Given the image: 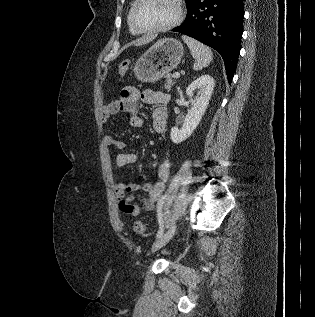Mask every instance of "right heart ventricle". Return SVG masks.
<instances>
[{
  "mask_svg": "<svg viewBox=\"0 0 315 317\" xmlns=\"http://www.w3.org/2000/svg\"><path fill=\"white\" fill-rule=\"evenodd\" d=\"M128 26H129V30L132 34H139V32H137L131 25V22H130V13L128 15Z\"/></svg>",
  "mask_w": 315,
  "mask_h": 317,
  "instance_id": "right-heart-ventricle-1",
  "label": "right heart ventricle"
}]
</instances>
